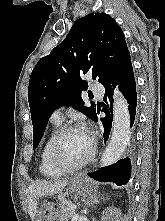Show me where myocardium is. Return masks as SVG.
<instances>
[{"mask_svg":"<svg viewBox=\"0 0 165 221\" xmlns=\"http://www.w3.org/2000/svg\"><path fill=\"white\" fill-rule=\"evenodd\" d=\"M74 130H84V128L78 124H69V125L63 126L56 132L50 144V150H49L50 161L52 165L54 166V168L64 173L77 171L83 168L94 158L96 154L95 140L92 137H90L91 149L88 155L82 161L74 165H67L60 161L58 157L59 144L66 134Z\"/></svg>","mask_w":165,"mask_h":221,"instance_id":"myocardium-1","label":"myocardium"}]
</instances>
